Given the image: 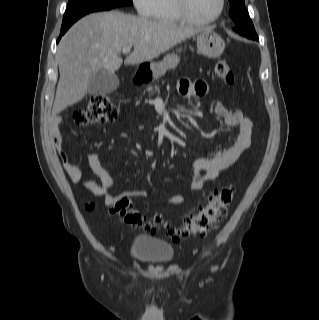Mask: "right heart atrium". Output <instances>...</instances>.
<instances>
[{
	"instance_id": "right-heart-atrium-1",
	"label": "right heart atrium",
	"mask_w": 319,
	"mask_h": 320,
	"mask_svg": "<svg viewBox=\"0 0 319 320\" xmlns=\"http://www.w3.org/2000/svg\"><path fill=\"white\" fill-rule=\"evenodd\" d=\"M137 12L142 16H153L158 0H132Z\"/></svg>"
}]
</instances>
